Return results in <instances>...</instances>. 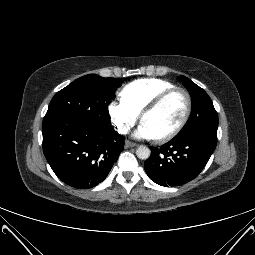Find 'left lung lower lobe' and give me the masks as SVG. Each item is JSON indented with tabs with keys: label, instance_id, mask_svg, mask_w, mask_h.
<instances>
[{
	"label": "left lung lower lobe",
	"instance_id": "left-lung-lower-lobe-1",
	"mask_svg": "<svg viewBox=\"0 0 255 255\" xmlns=\"http://www.w3.org/2000/svg\"><path fill=\"white\" fill-rule=\"evenodd\" d=\"M217 137L208 135L172 139L160 148L151 147L144 167L155 183L168 187L196 178L215 150Z\"/></svg>",
	"mask_w": 255,
	"mask_h": 255
}]
</instances>
